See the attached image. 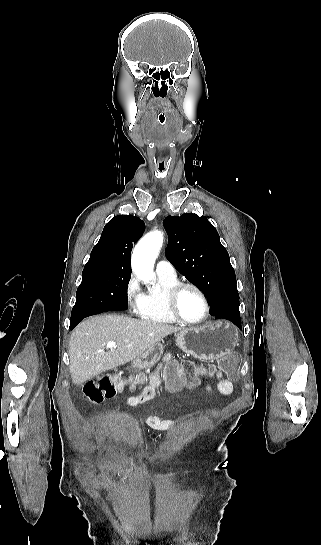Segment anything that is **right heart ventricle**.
Here are the masks:
<instances>
[{
	"label": "right heart ventricle",
	"instance_id": "1",
	"mask_svg": "<svg viewBox=\"0 0 321 545\" xmlns=\"http://www.w3.org/2000/svg\"><path fill=\"white\" fill-rule=\"evenodd\" d=\"M158 278V290L156 293L151 292L146 295L140 317L150 324H173L175 322L166 311L162 294L163 290L177 284L179 281L177 277L168 278L158 275Z\"/></svg>",
	"mask_w": 321,
	"mask_h": 545
}]
</instances>
